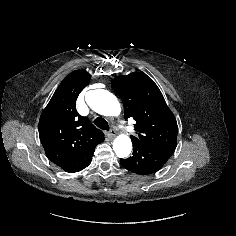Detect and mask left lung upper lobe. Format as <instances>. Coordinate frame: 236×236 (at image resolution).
I'll list each match as a JSON object with an SVG mask.
<instances>
[{
    "mask_svg": "<svg viewBox=\"0 0 236 236\" xmlns=\"http://www.w3.org/2000/svg\"><path fill=\"white\" fill-rule=\"evenodd\" d=\"M111 86L123 102L125 119L136 122L138 137L131 136L133 143L176 144V119L149 76L140 72L118 76Z\"/></svg>",
    "mask_w": 236,
    "mask_h": 236,
    "instance_id": "5c2ea615",
    "label": "left lung upper lobe"
}]
</instances>
